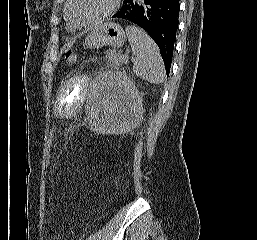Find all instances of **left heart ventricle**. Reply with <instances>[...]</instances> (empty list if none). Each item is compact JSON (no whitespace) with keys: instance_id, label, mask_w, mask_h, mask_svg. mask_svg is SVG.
Here are the masks:
<instances>
[{"instance_id":"b2bd125f","label":"left heart ventricle","mask_w":257,"mask_h":240,"mask_svg":"<svg viewBox=\"0 0 257 240\" xmlns=\"http://www.w3.org/2000/svg\"><path fill=\"white\" fill-rule=\"evenodd\" d=\"M111 0H73L71 15L79 23L88 22L108 9Z\"/></svg>"}]
</instances>
